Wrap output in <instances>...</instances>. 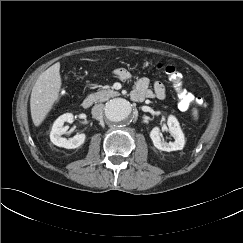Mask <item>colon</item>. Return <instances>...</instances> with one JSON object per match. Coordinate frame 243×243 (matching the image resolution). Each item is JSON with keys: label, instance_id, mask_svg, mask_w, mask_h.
Returning <instances> with one entry per match:
<instances>
[{"label": "colon", "instance_id": "5ec220e1", "mask_svg": "<svg viewBox=\"0 0 243 243\" xmlns=\"http://www.w3.org/2000/svg\"><path fill=\"white\" fill-rule=\"evenodd\" d=\"M146 65H149V63H146ZM155 67L159 70H162L166 74L169 81L173 84V87L178 94L181 104L186 107L190 106L194 99L182 88V75L177 70V68L173 65H164L161 63L156 64ZM195 104L198 108L206 106V102L202 98H197L195 100Z\"/></svg>", "mask_w": 243, "mask_h": 243}]
</instances>
